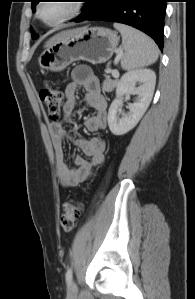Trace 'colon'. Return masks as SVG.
<instances>
[{
  "mask_svg": "<svg viewBox=\"0 0 195 299\" xmlns=\"http://www.w3.org/2000/svg\"><path fill=\"white\" fill-rule=\"evenodd\" d=\"M39 97L46 108L51 121H58L63 104V92L52 85L44 84L39 90ZM83 211L80 202L69 201L64 204V212L60 219L61 229L65 233H70L76 227L77 221Z\"/></svg>",
  "mask_w": 195,
  "mask_h": 299,
  "instance_id": "colon-1",
  "label": "colon"
}]
</instances>
